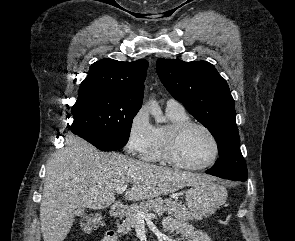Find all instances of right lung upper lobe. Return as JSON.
<instances>
[{
	"mask_svg": "<svg viewBox=\"0 0 295 241\" xmlns=\"http://www.w3.org/2000/svg\"><path fill=\"white\" fill-rule=\"evenodd\" d=\"M147 67L148 62L144 59L134 62L113 59L97 61L91 65L87 77L80 84L78 98L89 92L103 91L111 96L141 104Z\"/></svg>",
	"mask_w": 295,
	"mask_h": 241,
	"instance_id": "obj_1",
	"label": "right lung upper lobe"
}]
</instances>
